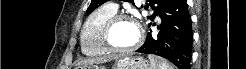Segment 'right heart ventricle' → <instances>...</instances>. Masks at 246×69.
<instances>
[{
    "instance_id": "obj_1",
    "label": "right heart ventricle",
    "mask_w": 246,
    "mask_h": 69,
    "mask_svg": "<svg viewBox=\"0 0 246 69\" xmlns=\"http://www.w3.org/2000/svg\"><path fill=\"white\" fill-rule=\"evenodd\" d=\"M117 13L109 4L94 10L86 19L81 33V49L87 56H106L110 51L105 47L102 32L106 21Z\"/></svg>"
}]
</instances>
